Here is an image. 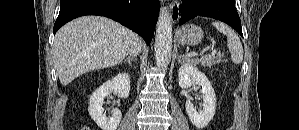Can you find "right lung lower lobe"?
I'll use <instances>...</instances> for the list:
<instances>
[{"label": "right lung lower lobe", "mask_w": 299, "mask_h": 130, "mask_svg": "<svg viewBox=\"0 0 299 130\" xmlns=\"http://www.w3.org/2000/svg\"><path fill=\"white\" fill-rule=\"evenodd\" d=\"M159 8V0H61L53 32L55 35L61 26L77 17L99 15L128 27L149 44Z\"/></svg>", "instance_id": "1"}]
</instances>
